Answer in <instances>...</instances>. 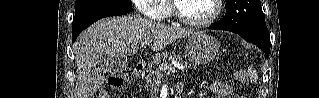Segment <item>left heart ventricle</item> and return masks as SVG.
<instances>
[{
	"instance_id": "b2bd125f",
	"label": "left heart ventricle",
	"mask_w": 319,
	"mask_h": 98,
	"mask_svg": "<svg viewBox=\"0 0 319 98\" xmlns=\"http://www.w3.org/2000/svg\"><path fill=\"white\" fill-rule=\"evenodd\" d=\"M178 5L181 14L192 20H205L215 11L213 0H181Z\"/></svg>"
}]
</instances>
